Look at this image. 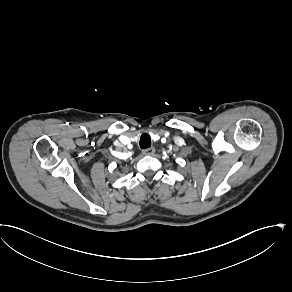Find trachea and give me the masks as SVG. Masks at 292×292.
<instances>
[{
    "mask_svg": "<svg viewBox=\"0 0 292 292\" xmlns=\"http://www.w3.org/2000/svg\"><path fill=\"white\" fill-rule=\"evenodd\" d=\"M151 146V137L147 133H143L140 137V147L142 149L149 148Z\"/></svg>",
    "mask_w": 292,
    "mask_h": 292,
    "instance_id": "1",
    "label": "trachea"
}]
</instances>
